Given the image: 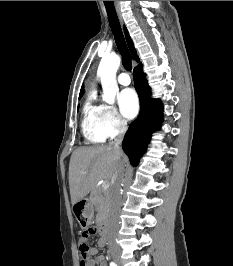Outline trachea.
Instances as JSON below:
<instances>
[{
    "label": "trachea",
    "mask_w": 233,
    "mask_h": 266,
    "mask_svg": "<svg viewBox=\"0 0 233 266\" xmlns=\"http://www.w3.org/2000/svg\"><path fill=\"white\" fill-rule=\"evenodd\" d=\"M104 5L107 11L110 28L113 32L117 48L122 57V64L126 70H131V56L122 33L113 1H104Z\"/></svg>",
    "instance_id": "1"
}]
</instances>
